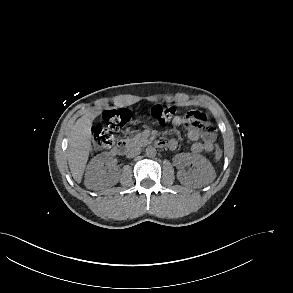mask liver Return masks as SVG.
Returning a JSON list of instances; mask_svg holds the SVG:
<instances>
[{
    "label": "liver",
    "instance_id": "6515ba94",
    "mask_svg": "<svg viewBox=\"0 0 293 293\" xmlns=\"http://www.w3.org/2000/svg\"><path fill=\"white\" fill-rule=\"evenodd\" d=\"M95 115L87 113L80 117L72 127L67 149L68 164L74 180L81 182L91 151V127Z\"/></svg>",
    "mask_w": 293,
    "mask_h": 293
}]
</instances>
